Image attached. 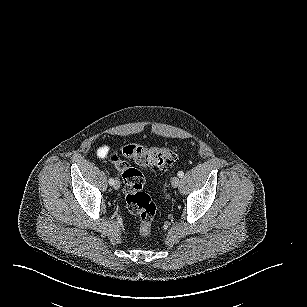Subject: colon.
Wrapping results in <instances>:
<instances>
[{
    "instance_id": "obj_1",
    "label": "colon",
    "mask_w": 307,
    "mask_h": 307,
    "mask_svg": "<svg viewBox=\"0 0 307 307\" xmlns=\"http://www.w3.org/2000/svg\"><path fill=\"white\" fill-rule=\"evenodd\" d=\"M173 158L174 153L168 147H145L136 143L124 145L119 152H113L111 155V162L124 182L127 208L139 217V232L142 237H150L156 205L143 191L144 176L131 167L126 159H132L137 165L144 167L166 168Z\"/></svg>"
}]
</instances>
